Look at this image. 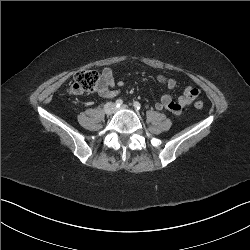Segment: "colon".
I'll use <instances>...</instances> for the list:
<instances>
[{"mask_svg":"<svg viewBox=\"0 0 250 250\" xmlns=\"http://www.w3.org/2000/svg\"><path fill=\"white\" fill-rule=\"evenodd\" d=\"M100 81L99 74L94 70H82L75 74L70 91L74 94H91L97 90ZM195 108L202 109V101L194 103Z\"/></svg>","mask_w":250,"mask_h":250,"instance_id":"1","label":"colon"}]
</instances>
